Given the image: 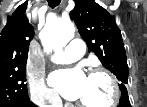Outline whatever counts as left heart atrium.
I'll return each mask as SVG.
<instances>
[{
	"instance_id": "1",
	"label": "left heart atrium",
	"mask_w": 147,
	"mask_h": 107,
	"mask_svg": "<svg viewBox=\"0 0 147 107\" xmlns=\"http://www.w3.org/2000/svg\"><path fill=\"white\" fill-rule=\"evenodd\" d=\"M87 77L80 69L63 70L53 73L51 85L68 100H77L83 94Z\"/></svg>"
}]
</instances>
